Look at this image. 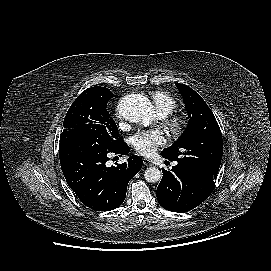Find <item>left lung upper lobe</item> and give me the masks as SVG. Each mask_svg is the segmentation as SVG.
Masks as SVG:
<instances>
[{
	"label": "left lung upper lobe",
	"mask_w": 271,
	"mask_h": 271,
	"mask_svg": "<svg viewBox=\"0 0 271 271\" xmlns=\"http://www.w3.org/2000/svg\"><path fill=\"white\" fill-rule=\"evenodd\" d=\"M176 86L183 96L190 119L183 135L161 154L170 161H177L180 166L215 180L223 155L220 127L199 94L187 85L177 83Z\"/></svg>",
	"instance_id": "5c2ea615"
}]
</instances>
